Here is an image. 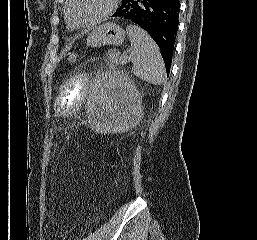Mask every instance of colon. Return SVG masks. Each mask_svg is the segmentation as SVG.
Segmentation results:
<instances>
[{
    "instance_id": "colon-1",
    "label": "colon",
    "mask_w": 257,
    "mask_h": 240,
    "mask_svg": "<svg viewBox=\"0 0 257 240\" xmlns=\"http://www.w3.org/2000/svg\"><path fill=\"white\" fill-rule=\"evenodd\" d=\"M77 58H78V55H77L76 52H74V51L68 52V54H67V60H68V62H69L70 64L75 63V62L77 61ZM49 147H50V149L53 148V137H52V136H50V139H49Z\"/></svg>"
}]
</instances>
